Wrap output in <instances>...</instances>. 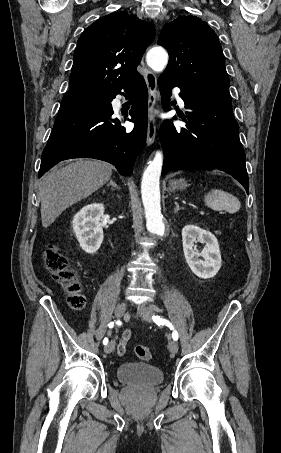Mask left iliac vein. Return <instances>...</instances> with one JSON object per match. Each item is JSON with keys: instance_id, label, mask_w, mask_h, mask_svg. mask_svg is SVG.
Masks as SVG:
<instances>
[{"instance_id": "left-iliac-vein-1", "label": "left iliac vein", "mask_w": 281, "mask_h": 453, "mask_svg": "<svg viewBox=\"0 0 281 453\" xmlns=\"http://www.w3.org/2000/svg\"><path fill=\"white\" fill-rule=\"evenodd\" d=\"M136 310L137 311L141 310L139 316H142L144 318V321L148 320L149 323L151 322V317L156 315L155 310H152V308H149V307H144V306L142 307L140 304H139V307L136 308ZM168 349H169V351H171V353H177L179 346L176 341H171L168 346Z\"/></svg>"}]
</instances>
